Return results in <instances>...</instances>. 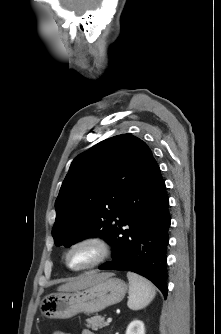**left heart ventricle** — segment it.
<instances>
[{
    "label": "left heart ventricle",
    "instance_id": "obj_1",
    "mask_svg": "<svg viewBox=\"0 0 221 334\" xmlns=\"http://www.w3.org/2000/svg\"><path fill=\"white\" fill-rule=\"evenodd\" d=\"M97 255V251L92 246H81L72 251L69 257L73 266H83L90 263Z\"/></svg>",
    "mask_w": 221,
    "mask_h": 334
}]
</instances>
